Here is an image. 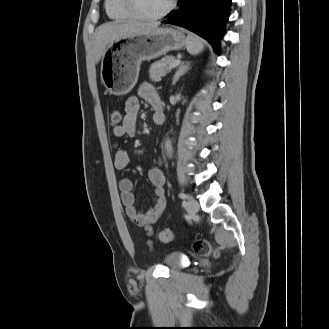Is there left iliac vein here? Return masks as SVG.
<instances>
[{
    "instance_id": "4c4485c4",
    "label": "left iliac vein",
    "mask_w": 329,
    "mask_h": 329,
    "mask_svg": "<svg viewBox=\"0 0 329 329\" xmlns=\"http://www.w3.org/2000/svg\"><path fill=\"white\" fill-rule=\"evenodd\" d=\"M186 208L190 215H194L199 211V203L193 197H189Z\"/></svg>"
}]
</instances>
